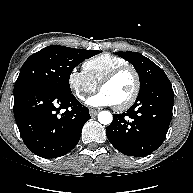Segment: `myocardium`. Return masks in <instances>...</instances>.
<instances>
[{"label": "myocardium", "instance_id": "obj_1", "mask_svg": "<svg viewBox=\"0 0 193 193\" xmlns=\"http://www.w3.org/2000/svg\"><path fill=\"white\" fill-rule=\"evenodd\" d=\"M124 71H131L133 73L134 79H135V86L131 96L124 103L119 105H114V108L118 111H123L130 108L136 102L139 96V93L141 90V79L137 69L131 64L119 66L111 70L109 73H107L98 83V89L101 90V88L104 85L111 82L113 79H115L119 74H121Z\"/></svg>", "mask_w": 193, "mask_h": 193}]
</instances>
